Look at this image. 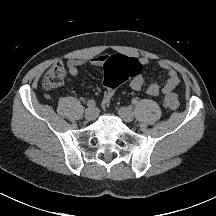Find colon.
<instances>
[{
	"mask_svg": "<svg viewBox=\"0 0 216 216\" xmlns=\"http://www.w3.org/2000/svg\"><path fill=\"white\" fill-rule=\"evenodd\" d=\"M142 65L124 56H119L109 60L104 69V84L106 87L102 100V107L107 108L113 101L116 89L128 81L130 78L139 75ZM65 77V68L61 62H56L46 72L43 78V88L47 91L58 88ZM164 106L174 111L179 106V101L174 93H166L164 96Z\"/></svg>",
	"mask_w": 216,
	"mask_h": 216,
	"instance_id": "obj_1",
	"label": "colon"
}]
</instances>
